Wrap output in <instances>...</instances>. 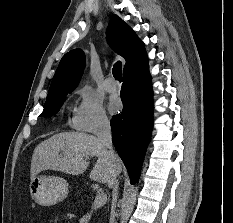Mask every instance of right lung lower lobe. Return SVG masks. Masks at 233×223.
Returning <instances> with one entry per match:
<instances>
[{
    "mask_svg": "<svg viewBox=\"0 0 233 223\" xmlns=\"http://www.w3.org/2000/svg\"><path fill=\"white\" fill-rule=\"evenodd\" d=\"M153 92L148 65L124 75L123 111L111 120L112 142L123 160L132 184L140 171L153 127Z\"/></svg>",
    "mask_w": 233,
    "mask_h": 223,
    "instance_id": "1",
    "label": "right lung lower lobe"
}]
</instances>
